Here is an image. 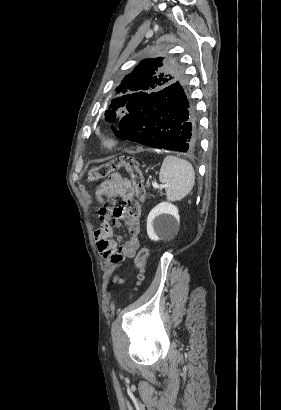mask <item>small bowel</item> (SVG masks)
I'll list each match as a JSON object with an SVG mask.
<instances>
[{"mask_svg":"<svg viewBox=\"0 0 281 410\" xmlns=\"http://www.w3.org/2000/svg\"><path fill=\"white\" fill-rule=\"evenodd\" d=\"M130 182L120 174H112L96 190V197L101 204L98 209L100 226L95 232V240L100 254L109 265H117L126 258L135 256L139 247L140 219L138 214L122 213L113 218L105 198L116 194L132 195ZM125 224L129 231L128 239L119 247L112 239L113 229ZM121 282V280H119Z\"/></svg>","mask_w":281,"mask_h":410,"instance_id":"c3829d8e","label":"small bowel"}]
</instances>
